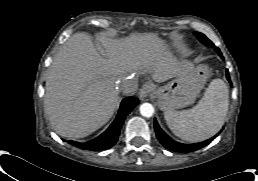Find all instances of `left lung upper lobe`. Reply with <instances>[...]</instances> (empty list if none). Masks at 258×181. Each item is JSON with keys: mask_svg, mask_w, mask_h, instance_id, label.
<instances>
[{"mask_svg": "<svg viewBox=\"0 0 258 181\" xmlns=\"http://www.w3.org/2000/svg\"><path fill=\"white\" fill-rule=\"evenodd\" d=\"M195 35L197 36V38H198L204 45H206V46H208V47H212V48L215 47L214 44H213L204 34H202V33H200V32H195ZM215 50L217 51V53H218L220 56H222V54H221L219 48H216Z\"/></svg>", "mask_w": 258, "mask_h": 181, "instance_id": "1", "label": "left lung upper lobe"}]
</instances>
